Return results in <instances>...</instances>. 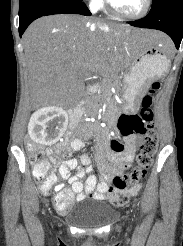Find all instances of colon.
Returning <instances> with one entry per match:
<instances>
[{"mask_svg":"<svg viewBox=\"0 0 183 246\" xmlns=\"http://www.w3.org/2000/svg\"><path fill=\"white\" fill-rule=\"evenodd\" d=\"M160 84L154 82L149 92L142 99V107L139 114H123L118 120V130L123 136L133 134H143L144 141L140 144L137 164L127 173L115 176L113 186L110 189L109 201L117 207L126 205L130 197L137 195L140 182L145 178L152 164L153 157L158 149V134L154 123V95L159 89ZM111 152H125L124 143L111 140ZM28 152L34 169V175L39 182L42 190L50 189L54 175L49 171V165L44 153L29 144ZM55 204L59 212H63L71 207L70 199L58 195Z\"/></svg>","mask_w":183,"mask_h":246,"instance_id":"1","label":"colon"}]
</instances>
